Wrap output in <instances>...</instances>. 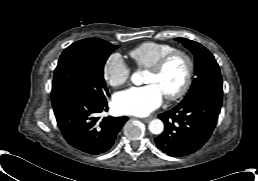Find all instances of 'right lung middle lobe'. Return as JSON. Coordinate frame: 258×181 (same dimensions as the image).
<instances>
[{
	"mask_svg": "<svg viewBox=\"0 0 258 181\" xmlns=\"http://www.w3.org/2000/svg\"><path fill=\"white\" fill-rule=\"evenodd\" d=\"M118 47L99 38L83 39L67 47L54 72L52 93L64 90L105 102L109 94L103 68Z\"/></svg>",
	"mask_w": 258,
	"mask_h": 181,
	"instance_id": "right-lung-middle-lobe-1",
	"label": "right lung middle lobe"
}]
</instances>
